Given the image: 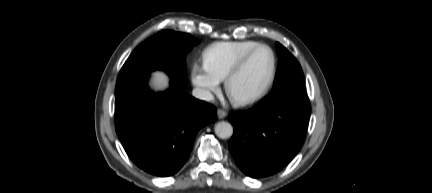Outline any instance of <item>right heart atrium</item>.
<instances>
[{"label": "right heart atrium", "mask_w": 432, "mask_h": 193, "mask_svg": "<svg viewBox=\"0 0 432 193\" xmlns=\"http://www.w3.org/2000/svg\"><path fill=\"white\" fill-rule=\"evenodd\" d=\"M191 80L199 95L204 99H211L219 92L220 82L208 71L204 64L194 62L191 67Z\"/></svg>", "instance_id": "obj_1"}]
</instances>
